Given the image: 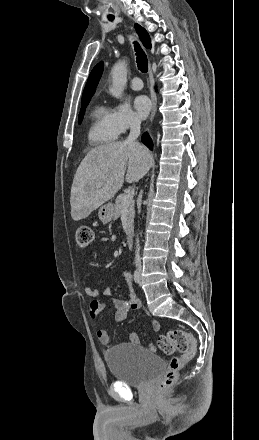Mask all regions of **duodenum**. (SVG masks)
<instances>
[{"mask_svg":"<svg viewBox=\"0 0 259 440\" xmlns=\"http://www.w3.org/2000/svg\"><path fill=\"white\" fill-rule=\"evenodd\" d=\"M126 242L128 246H132L133 244V232L131 230H129L126 235Z\"/></svg>","mask_w":259,"mask_h":440,"instance_id":"1","label":"duodenum"}]
</instances>
